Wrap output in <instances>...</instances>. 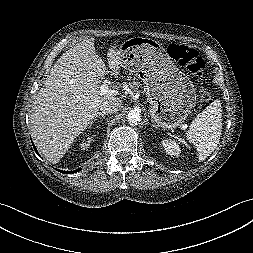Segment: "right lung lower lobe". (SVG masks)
<instances>
[{"label":"right lung lower lobe","instance_id":"98d812e1","mask_svg":"<svg viewBox=\"0 0 253 253\" xmlns=\"http://www.w3.org/2000/svg\"><path fill=\"white\" fill-rule=\"evenodd\" d=\"M32 145H33V147H34V150L36 151V153L38 154V152H37V149L35 148V146H34V144L32 143ZM81 170V168L80 169H78V170H75V171H60V172H62V173H75V172H78V171H80Z\"/></svg>","mask_w":253,"mask_h":253}]
</instances>
